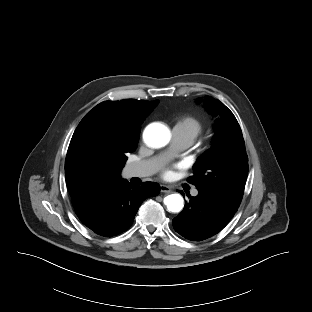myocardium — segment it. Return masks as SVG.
<instances>
[{
    "mask_svg": "<svg viewBox=\"0 0 312 312\" xmlns=\"http://www.w3.org/2000/svg\"><path fill=\"white\" fill-rule=\"evenodd\" d=\"M212 144H213L212 142H209L206 146V149H209L212 146Z\"/></svg>",
    "mask_w": 312,
    "mask_h": 312,
    "instance_id": "myocardium-1",
    "label": "myocardium"
}]
</instances>
